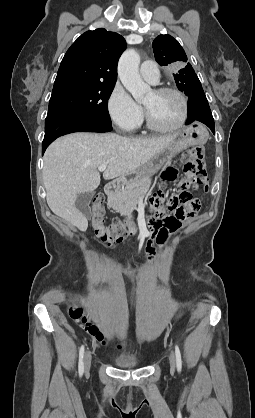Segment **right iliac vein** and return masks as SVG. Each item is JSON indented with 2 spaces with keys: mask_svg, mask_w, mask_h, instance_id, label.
Wrapping results in <instances>:
<instances>
[{
  "mask_svg": "<svg viewBox=\"0 0 255 418\" xmlns=\"http://www.w3.org/2000/svg\"><path fill=\"white\" fill-rule=\"evenodd\" d=\"M91 359H92V355L90 351H87L84 357V369L85 372L88 373L90 370V366H91Z\"/></svg>",
  "mask_w": 255,
  "mask_h": 418,
  "instance_id": "obj_1",
  "label": "right iliac vein"
}]
</instances>
